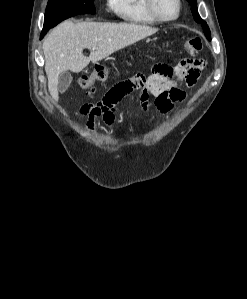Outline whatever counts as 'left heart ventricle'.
Wrapping results in <instances>:
<instances>
[{
    "label": "left heart ventricle",
    "instance_id": "1",
    "mask_svg": "<svg viewBox=\"0 0 247 299\" xmlns=\"http://www.w3.org/2000/svg\"><path fill=\"white\" fill-rule=\"evenodd\" d=\"M156 9L162 17L169 18L175 15L177 5L175 0H156Z\"/></svg>",
    "mask_w": 247,
    "mask_h": 299
}]
</instances>
